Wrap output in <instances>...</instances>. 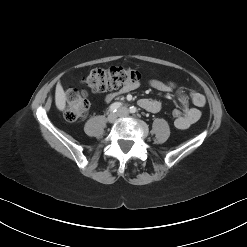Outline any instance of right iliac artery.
<instances>
[{"label":"right iliac artery","instance_id":"obj_1","mask_svg":"<svg viewBox=\"0 0 247 247\" xmlns=\"http://www.w3.org/2000/svg\"><path fill=\"white\" fill-rule=\"evenodd\" d=\"M121 105H122L121 103L115 102L109 106V111L116 112L121 107Z\"/></svg>","mask_w":247,"mask_h":247}]
</instances>
